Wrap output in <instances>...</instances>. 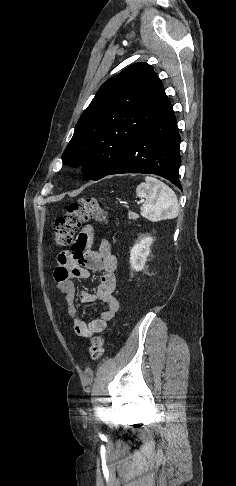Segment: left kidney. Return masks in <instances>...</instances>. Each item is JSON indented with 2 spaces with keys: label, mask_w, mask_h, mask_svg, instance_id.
Returning <instances> with one entry per match:
<instances>
[{
  "label": "left kidney",
  "mask_w": 236,
  "mask_h": 486,
  "mask_svg": "<svg viewBox=\"0 0 236 486\" xmlns=\"http://www.w3.org/2000/svg\"><path fill=\"white\" fill-rule=\"evenodd\" d=\"M153 243V238L150 236L143 237L136 243L130 251V264L133 270L141 271L150 254V246Z\"/></svg>",
  "instance_id": "1"
}]
</instances>
